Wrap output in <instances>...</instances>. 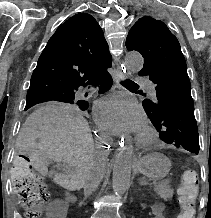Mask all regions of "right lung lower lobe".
Here are the masks:
<instances>
[{
  "instance_id": "98d812e1",
  "label": "right lung lower lobe",
  "mask_w": 211,
  "mask_h": 218,
  "mask_svg": "<svg viewBox=\"0 0 211 218\" xmlns=\"http://www.w3.org/2000/svg\"><path fill=\"white\" fill-rule=\"evenodd\" d=\"M109 67H111V64L104 66L92 78L71 86L69 89L66 90V92H71L75 94V91L78 90L80 86H86L90 83L101 85L99 90L100 93L106 92L108 89H110L113 82L110 74L106 70V68Z\"/></svg>"
}]
</instances>
